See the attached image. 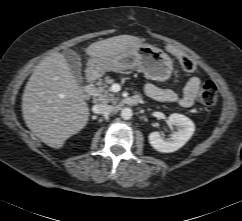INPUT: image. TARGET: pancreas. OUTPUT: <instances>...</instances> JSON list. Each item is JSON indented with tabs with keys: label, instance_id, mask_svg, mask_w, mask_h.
Masks as SVG:
<instances>
[{
	"label": "pancreas",
	"instance_id": "obj_1",
	"mask_svg": "<svg viewBox=\"0 0 242 221\" xmlns=\"http://www.w3.org/2000/svg\"><path fill=\"white\" fill-rule=\"evenodd\" d=\"M114 80L110 77H105L104 80L100 79L95 87L92 88V95L94 102H102V103H117L119 98L112 92L111 87L109 85L113 84Z\"/></svg>",
	"mask_w": 242,
	"mask_h": 221
}]
</instances>
